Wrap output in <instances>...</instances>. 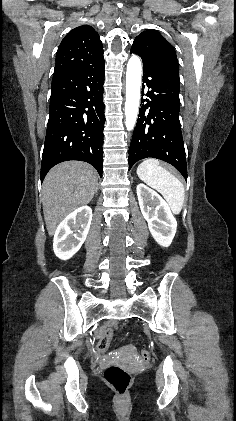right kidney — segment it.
I'll list each match as a JSON object with an SVG mask.
<instances>
[{"label":"right kidney","instance_id":"ca27d5eb","mask_svg":"<svg viewBox=\"0 0 236 421\" xmlns=\"http://www.w3.org/2000/svg\"><path fill=\"white\" fill-rule=\"evenodd\" d=\"M92 217L90 206H79L60 223L53 241V251L58 259L67 261L81 249L89 233Z\"/></svg>","mask_w":236,"mask_h":421}]
</instances>
